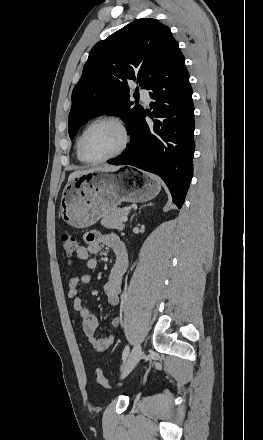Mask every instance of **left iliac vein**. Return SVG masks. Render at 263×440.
Returning a JSON list of instances; mask_svg holds the SVG:
<instances>
[{
  "mask_svg": "<svg viewBox=\"0 0 263 440\" xmlns=\"http://www.w3.org/2000/svg\"><path fill=\"white\" fill-rule=\"evenodd\" d=\"M141 352H142L141 345L140 343H137L133 347L129 357L122 366L121 378L126 377L133 370V368L136 366V364L138 363L141 357Z\"/></svg>",
  "mask_w": 263,
  "mask_h": 440,
  "instance_id": "4c4485c4",
  "label": "left iliac vein"
}]
</instances>
